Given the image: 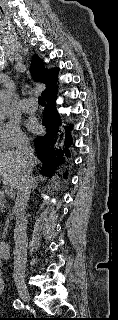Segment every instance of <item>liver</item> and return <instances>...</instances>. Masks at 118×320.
I'll list each match as a JSON object with an SVG mask.
<instances>
[{"instance_id": "6515ba94", "label": "liver", "mask_w": 118, "mask_h": 320, "mask_svg": "<svg viewBox=\"0 0 118 320\" xmlns=\"http://www.w3.org/2000/svg\"><path fill=\"white\" fill-rule=\"evenodd\" d=\"M36 163L37 160L34 158V166ZM23 169L24 163L17 151L0 152V177L3 184L17 189Z\"/></svg>"}]
</instances>
